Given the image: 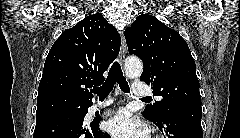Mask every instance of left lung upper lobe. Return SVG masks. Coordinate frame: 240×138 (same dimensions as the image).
I'll return each instance as SVG.
<instances>
[{
	"label": "left lung upper lobe",
	"mask_w": 240,
	"mask_h": 138,
	"mask_svg": "<svg viewBox=\"0 0 240 138\" xmlns=\"http://www.w3.org/2000/svg\"><path fill=\"white\" fill-rule=\"evenodd\" d=\"M129 54L139 56L144 65L140 79L151 83L162 100L147 106L143 114L159 121L173 106L201 102L195 61L186 41L175 30L151 15L141 14L125 30Z\"/></svg>",
	"instance_id": "5c2ea615"
}]
</instances>
